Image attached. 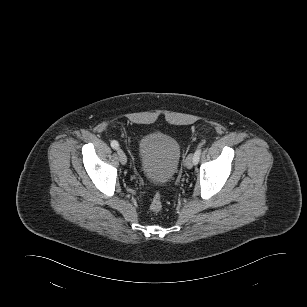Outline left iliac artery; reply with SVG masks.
Here are the masks:
<instances>
[{
    "instance_id": "44dca946",
    "label": "left iliac artery",
    "mask_w": 307,
    "mask_h": 307,
    "mask_svg": "<svg viewBox=\"0 0 307 307\" xmlns=\"http://www.w3.org/2000/svg\"><path fill=\"white\" fill-rule=\"evenodd\" d=\"M200 155H201V148H198V149L195 151L194 157H193V163H194L195 165L199 162Z\"/></svg>"
}]
</instances>
